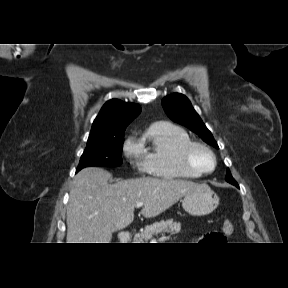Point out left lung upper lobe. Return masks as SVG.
<instances>
[{
  "instance_id": "1",
  "label": "left lung upper lobe",
  "mask_w": 288,
  "mask_h": 288,
  "mask_svg": "<svg viewBox=\"0 0 288 288\" xmlns=\"http://www.w3.org/2000/svg\"><path fill=\"white\" fill-rule=\"evenodd\" d=\"M162 106L168 117L174 122L188 127L191 131L199 135L206 143L218 148L211 132L207 129L185 95L173 93L166 96L162 100ZM225 180L229 183L235 181L229 169H227Z\"/></svg>"
}]
</instances>
